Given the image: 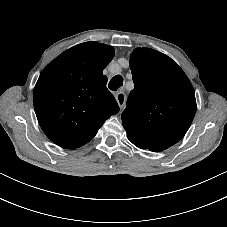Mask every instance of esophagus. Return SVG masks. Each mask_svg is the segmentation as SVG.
I'll use <instances>...</instances> for the list:
<instances>
[{
	"label": "esophagus",
	"instance_id": "esophagus-1",
	"mask_svg": "<svg viewBox=\"0 0 227 227\" xmlns=\"http://www.w3.org/2000/svg\"><path fill=\"white\" fill-rule=\"evenodd\" d=\"M116 101L120 107V109H122L126 103V95L124 92H118L116 94Z\"/></svg>",
	"mask_w": 227,
	"mask_h": 227
}]
</instances>
